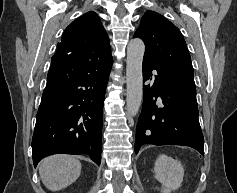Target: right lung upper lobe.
<instances>
[{
	"instance_id": "cb5924a9",
	"label": "right lung upper lobe",
	"mask_w": 237,
	"mask_h": 193,
	"mask_svg": "<svg viewBox=\"0 0 237 193\" xmlns=\"http://www.w3.org/2000/svg\"><path fill=\"white\" fill-rule=\"evenodd\" d=\"M57 56L78 64L111 58L108 35L95 12L85 13L66 28L53 57Z\"/></svg>"
}]
</instances>
